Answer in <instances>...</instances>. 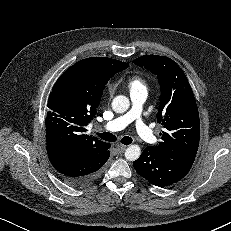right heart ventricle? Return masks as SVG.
Instances as JSON below:
<instances>
[{
	"mask_svg": "<svg viewBox=\"0 0 231 231\" xmlns=\"http://www.w3.org/2000/svg\"><path fill=\"white\" fill-rule=\"evenodd\" d=\"M127 87L129 93H135L139 91H147V85L143 78L140 76H132L127 80Z\"/></svg>",
	"mask_w": 231,
	"mask_h": 231,
	"instance_id": "1",
	"label": "right heart ventricle"
}]
</instances>
